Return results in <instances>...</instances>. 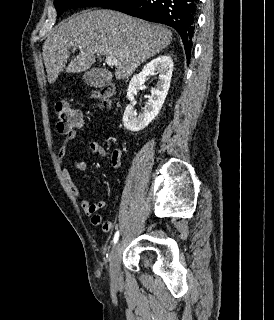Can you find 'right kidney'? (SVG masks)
I'll return each instance as SVG.
<instances>
[{
  "instance_id": "obj_1",
  "label": "right kidney",
  "mask_w": 274,
  "mask_h": 320,
  "mask_svg": "<svg viewBox=\"0 0 274 320\" xmlns=\"http://www.w3.org/2000/svg\"><path fill=\"white\" fill-rule=\"evenodd\" d=\"M173 68L171 56H158V58H154L149 64H146L140 74H136V76L131 78L127 90V98L131 104H128L123 114V124L126 130H130V132H140V130L149 126L152 120H155L168 94ZM154 74H159L157 86L156 88H152L151 96H149V100L141 114H137L134 108L136 104V102H134V96L137 94V90L141 84H144L145 80H147L148 76H154Z\"/></svg>"
}]
</instances>
